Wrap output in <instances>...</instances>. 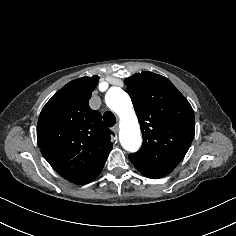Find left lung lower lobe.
<instances>
[{
    "label": "left lung lower lobe",
    "mask_w": 236,
    "mask_h": 236,
    "mask_svg": "<svg viewBox=\"0 0 236 236\" xmlns=\"http://www.w3.org/2000/svg\"><path fill=\"white\" fill-rule=\"evenodd\" d=\"M136 169L144 176L152 179L162 178L172 172L173 169H159L150 166H144L138 163H133Z\"/></svg>",
    "instance_id": "1"
}]
</instances>
